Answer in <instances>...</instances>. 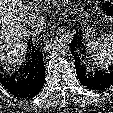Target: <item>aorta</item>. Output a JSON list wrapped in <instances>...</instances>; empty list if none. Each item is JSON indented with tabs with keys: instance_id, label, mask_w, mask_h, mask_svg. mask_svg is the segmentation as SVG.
Returning <instances> with one entry per match:
<instances>
[{
	"instance_id": "762f6f07",
	"label": "aorta",
	"mask_w": 113,
	"mask_h": 113,
	"mask_svg": "<svg viewBox=\"0 0 113 113\" xmlns=\"http://www.w3.org/2000/svg\"><path fill=\"white\" fill-rule=\"evenodd\" d=\"M47 49L54 54H66L69 50V41L65 37L53 38L47 42Z\"/></svg>"
}]
</instances>
